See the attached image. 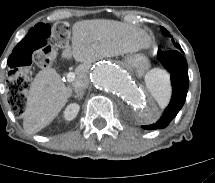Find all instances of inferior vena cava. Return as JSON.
Listing matches in <instances>:
<instances>
[{
	"instance_id": "inferior-vena-cava-1",
	"label": "inferior vena cava",
	"mask_w": 215,
	"mask_h": 183,
	"mask_svg": "<svg viewBox=\"0 0 215 183\" xmlns=\"http://www.w3.org/2000/svg\"><path fill=\"white\" fill-rule=\"evenodd\" d=\"M88 86H89V78L87 76L79 78L75 80V82L73 83V89L77 93L84 91Z\"/></svg>"
}]
</instances>
